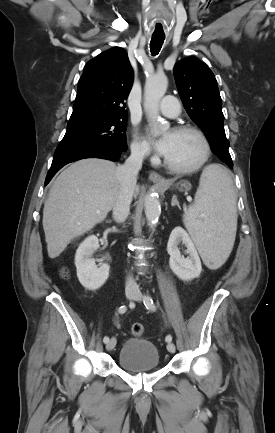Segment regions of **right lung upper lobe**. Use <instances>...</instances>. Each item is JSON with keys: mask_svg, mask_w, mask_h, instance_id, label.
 Returning a JSON list of instances; mask_svg holds the SVG:
<instances>
[{"mask_svg": "<svg viewBox=\"0 0 275 433\" xmlns=\"http://www.w3.org/2000/svg\"><path fill=\"white\" fill-rule=\"evenodd\" d=\"M133 79V70L123 48L114 47L99 54L85 65L70 119L127 117L124 101Z\"/></svg>", "mask_w": 275, "mask_h": 433, "instance_id": "obj_1", "label": "right lung upper lobe"}]
</instances>
